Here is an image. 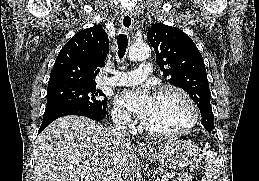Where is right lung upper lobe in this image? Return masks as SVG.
<instances>
[{"label": "right lung upper lobe", "instance_id": "obj_1", "mask_svg": "<svg viewBox=\"0 0 259 181\" xmlns=\"http://www.w3.org/2000/svg\"><path fill=\"white\" fill-rule=\"evenodd\" d=\"M108 36L102 26L77 32L59 52L48 86L61 83L96 84L95 76L105 65Z\"/></svg>", "mask_w": 259, "mask_h": 181}]
</instances>
